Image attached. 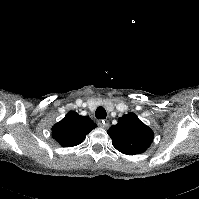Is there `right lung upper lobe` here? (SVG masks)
<instances>
[{
  "label": "right lung upper lobe",
  "mask_w": 199,
  "mask_h": 199,
  "mask_svg": "<svg viewBox=\"0 0 199 199\" xmlns=\"http://www.w3.org/2000/svg\"><path fill=\"white\" fill-rule=\"evenodd\" d=\"M96 127L89 117L70 111L52 127V135L61 146L73 147L82 143L86 135Z\"/></svg>",
  "instance_id": "1"
}]
</instances>
